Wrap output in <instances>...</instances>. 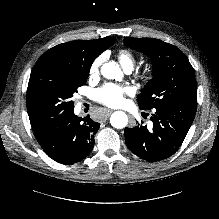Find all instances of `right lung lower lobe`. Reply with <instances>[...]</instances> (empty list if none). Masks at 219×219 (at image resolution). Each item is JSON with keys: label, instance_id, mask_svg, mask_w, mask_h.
I'll list each match as a JSON object with an SVG mask.
<instances>
[{"label": "right lung lower lobe", "instance_id": "right-lung-lower-lobe-1", "mask_svg": "<svg viewBox=\"0 0 219 219\" xmlns=\"http://www.w3.org/2000/svg\"><path fill=\"white\" fill-rule=\"evenodd\" d=\"M73 110L63 112L39 127H32L45 153L66 165L84 159L92 151L94 134L100 128V124L89 116L80 118Z\"/></svg>", "mask_w": 219, "mask_h": 219}]
</instances>
